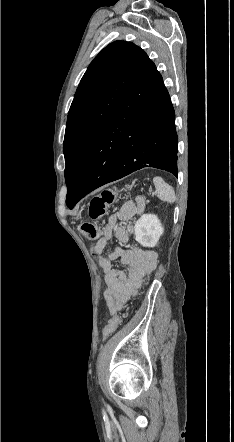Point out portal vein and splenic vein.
I'll return each mask as SVG.
<instances>
[{
    "label": "portal vein and splenic vein",
    "mask_w": 234,
    "mask_h": 442,
    "mask_svg": "<svg viewBox=\"0 0 234 442\" xmlns=\"http://www.w3.org/2000/svg\"><path fill=\"white\" fill-rule=\"evenodd\" d=\"M156 193H157L156 191H154V192H151V194H152L153 196H154V195H156Z\"/></svg>",
    "instance_id": "1"
}]
</instances>
